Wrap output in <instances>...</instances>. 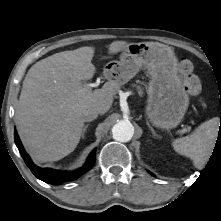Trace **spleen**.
<instances>
[{
	"label": "spleen",
	"instance_id": "1",
	"mask_svg": "<svg viewBox=\"0 0 221 221\" xmlns=\"http://www.w3.org/2000/svg\"><path fill=\"white\" fill-rule=\"evenodd\" d=\"M219 130V119L214 117L195 129L186 137L175 139L172 142L174 150L189 157L196 168L202 169L210 158Z\"/></svg>",
	"mask_w": 221,
	"mask_h": 221
}]
</instances>
